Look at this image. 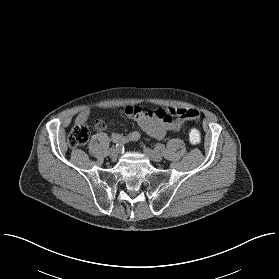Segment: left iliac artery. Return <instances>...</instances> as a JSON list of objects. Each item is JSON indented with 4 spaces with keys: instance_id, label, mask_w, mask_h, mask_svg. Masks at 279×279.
Here are the masks:
<instances>
[{
    "instance_id": "obj_1",
    "label": "left iliac artery",
    "mask_w": 279,
    "mask_h": 279,
    "mask_svg": "<svg viewBox=\"0 0 279 279\" xmlns=\"http://www.w3.org/2000/svg\"><path fill=\"white\" fill-rule=\"evenodd\" d=\"M156 149H157L158 151H164L165 146H164L163 144H161V143H158V144L156 145Z\"/></svg>"
}]
</instances>
